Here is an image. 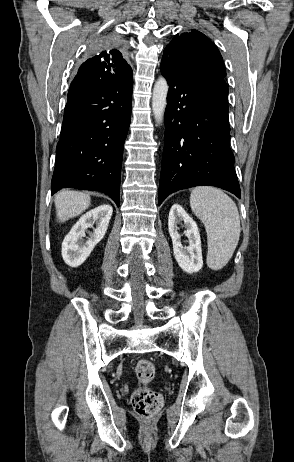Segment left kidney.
<instances>
[{
  "mask_svg": "<svg viewBox=\"0 0 294 462\" xmlns=\"http://www.w3.org/2000/svg\"><path fill=\"white\" fill-rule=\"evenodd\" d=\"M183 221L186 227L185 235L188 246L181 243L177 223ZM168 230L173 243V252L178 265L185 272L191 274L198 272L203 266L201 239L196 222L186 213L179 204H174L169 212Z\"/></svg>",
  "mask_w": 294,
  "mask_h": 462,
  "instance_id": "5707ae66",
  "label": "left kidney"
}]
</instances>
